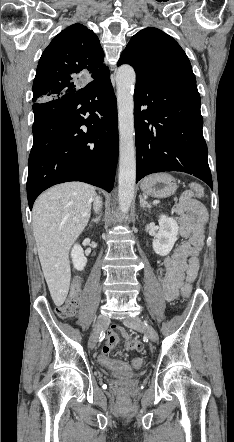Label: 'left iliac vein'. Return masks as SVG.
Returning <instances> with one entry per match:
<instances>
[{
	"instance_id": "obj_1",
	"label": "left iliac vein",
	"mask_w": 234,
	"mask_h": 442,
	"mask_svg": "<svg viewBox=\"0 0 234 442\" xmlns=\"http://www.w3.org/2000/svg\"><path fill=\"white\" fill-rule=\"evenodd\" d=\"M123 323L127 327L133 328L138 331H143L152 342H156L158 340L156 330L151 325L143 324L139 317L127 318L123 321Z\"/></svg>"
}]
</instances>
